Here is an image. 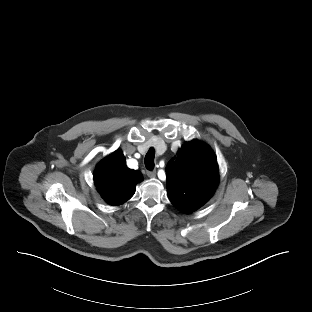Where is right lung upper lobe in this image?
I'll list each match as a JSON object with an SVG mask.
<instances>
[{"label": "right lung upper lobe", "instance_id": "1", "mask_svg": "<svg viewBox=\"0 0 312 312\" xmlns=\"http://www.w3.org/2000/svg\"><path fill=\"white\" fill-rule=\"evenodd\" d=\"M143 180L141 172L129 169L121 151L104 158L94 171L95 185L104 200L113 206L123 204L135 193V186Z\"/></svg>", "mask_w": 312, "mask_h": 312}]
</instances>
